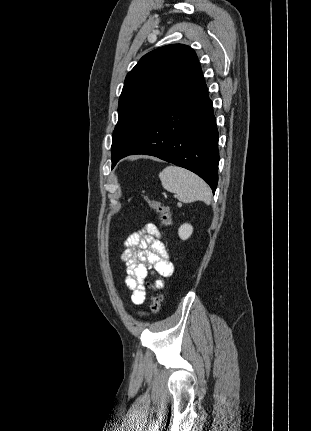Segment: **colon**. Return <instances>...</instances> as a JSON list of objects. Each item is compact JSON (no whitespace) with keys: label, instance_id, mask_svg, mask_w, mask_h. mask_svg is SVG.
Segmentation results:
<instances>
[{"label":"colon","instance_id":"1","mask_svg":"<svg viewBox=\"0 0 311 431\" xmlns=\"http://www.w3.org/2000/svg\"><path fill=\"white\" fill-rule=\"evenodd\" d=\"M144 199L148 206L160 215V227L162 229H167L171 224V213L169 207L160 201L149 199L148 197H144ZM147 285L149 288H153V284L151 282H148ZM150 301L151 312L153 314L158 313L161 308L162 295L158 291H153L150 296Z\"/></svg>","mask_w":311,"mask_h":431}]
</instances>
